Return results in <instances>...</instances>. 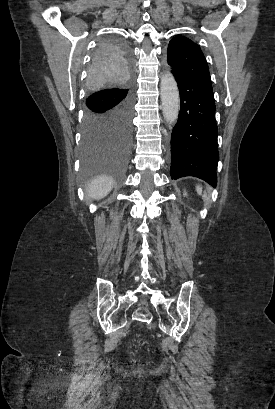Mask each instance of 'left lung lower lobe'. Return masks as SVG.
<instances>
[{
	"mask_svg": "<svg viewBox=\"0 0 275 409\" xmlns=\"http://www.w3.org/2000/svg\"><path fill=\"white\" fill-rule=\"evenodd\" d=\"M172 73L181 110L171 135V178L194 176L216 187L219 153L212 85Z\"/></svg>",
	"mask_w": 275,
	"mask_h": 409,
	"instance_id": "obj_1",
	"label": "left lung lower lobe"
}]
</instances>
